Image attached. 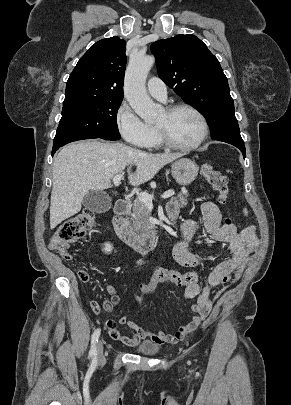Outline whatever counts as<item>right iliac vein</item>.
Returning <instances> with one entry per match:
<instances>
[{
    "instance_id": "right-iliac-vein-1",
    "label": "right iliac vein",
    "mask_w": 291,
    "mask_h": 405,
    "mask_svg": "<svg viewBox=\"0 0 291 405\" xmlns=\"http://www.w3.org/2000/svg\"><path fill=\"white\" fill-rule=\"evenodd\" d=\"M97 357H98L99 360L103 359V344H102V341H100L97 344Z\"/></svg>"
}]
</instances>
